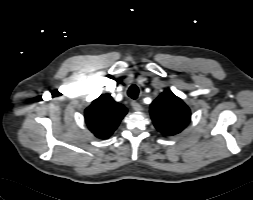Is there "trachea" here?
<instances>
[{
	"label": "trachea",
	"mask_w": 253,
	"mask_h": 200,
	"mask_svg": "<svg viewBox=\"0 0 253 200\" xmlns=\"http://www.w3.org/2000/svg\"><path fill=\"white\" fill-rule=\"evenodd\" d=\"M128 96L132 99H137L138 97V94H139V89L136 85H131L128 89V92H127Z\"/></svg>",
	"instance_id": "3493384b"
}]
</instances>
